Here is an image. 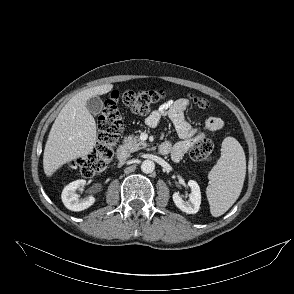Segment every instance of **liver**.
Wrapping results in <instances>:
<instances>
[{"instance_id":"liver-1","label":"liver","mask_w":294,"mask_h":294,"mask_svg":"<svg viewBox=\"0 0 294 294\" xmlns=\"http://www.w3.org/2000/svg\"><path fill=\"white\" fill-rule=\"evenodd\" d=\"M112 89V84L86 89L72 97L62 108L44 149L43 168L47 177H51L63 164L93 151L97 138L96 122L86 108V102Z\"/></svg>"}]
</instances>
